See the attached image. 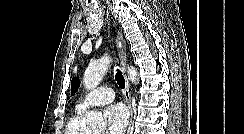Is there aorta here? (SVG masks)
<instances>
[{
	"mask_svg": "<svg viewBox=\"0 0 244 134\" xmlns=\"http://www.w3.org/2000/svg\"><path fill=\"white\" fill-rule=\"evenodd\" d=\"M110 63L111 60L109 58L103 57L89 64L83 77L84 85L87 90H92L99 85ZM137 76L138 73L134 67L128 68V77L132 82H138ZM87 123L92 127H105V120L98 111H89L87 113Z\"/></svg>",
	"mask_w": 244,
	"mask_h": 134,
	"instance_id": "aorta-1",
	"label": "aorta"
}]
</instances>
